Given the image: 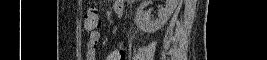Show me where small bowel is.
I'll list each match as a JSON object with an SVG mask.
<instances>
[{
	"label": "small bowel",
	"instance_id": "1",
	"mask_svg": "<svg viewBox=\"0 0 267 60\" xmlns=\"http://www.w3.org/2000/svg\"><path fill=\"white\" fill-rule=\"evenodd\" d=\"M124 6L123 1H117L114 4V8ZM101 35L99 32H92L89 36V40L87 42V59L95 60L96 58V49L99 44ZM107 60H126L125 52L122 49H117L112 51L106 58Z\"/></svg>",
	"mask_w": 267,
	"mask_h": 60
}]
</instances>
